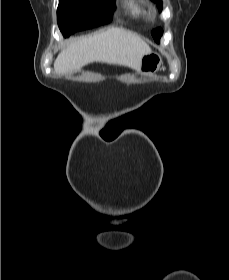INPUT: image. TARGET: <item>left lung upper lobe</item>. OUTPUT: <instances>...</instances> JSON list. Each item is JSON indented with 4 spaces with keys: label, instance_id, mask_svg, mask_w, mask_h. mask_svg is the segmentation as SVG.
<instances>
[{
    "label": "left lung upper lobe",
    "instance_id": "obj_1",
    "mask_svg": "<svg viewBox=\"0 0 229 280\" xmlns=\"http://www.w3.org/2000/svg\"><path fill=\"white\" fill-rule=\"evenodd\" d=\"M152 1L157 2L159 11H162V0H152ZM151 34H152L154 40L159 43L160 37L163 34V30L161 28H156L151 32Z\"/></svg>",
    "mask_w": 229,
    "mask_h": 280
}]
</instances>
